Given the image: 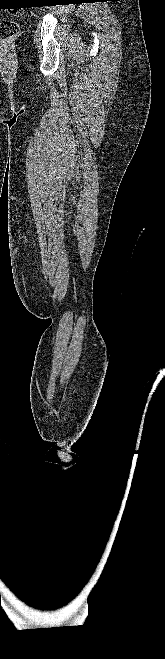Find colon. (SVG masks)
Returning <instances> with one entry per match:
<instances>
[{"label":"colon","mask_w":165,"mask_h":659,"mask_svg":"<svg viewBox=\"0 0 165 659\" xmlns=\"http://www.w3.org/2000/svg\"><path fill=\"white\" fill-rule=\"evenodd\" d=\"M18 33L19 26L17 23L7 19L0 20V43L11 44Z\"/></svg>","instance_id":"obj_1"}]
</instances>
